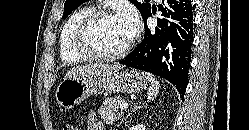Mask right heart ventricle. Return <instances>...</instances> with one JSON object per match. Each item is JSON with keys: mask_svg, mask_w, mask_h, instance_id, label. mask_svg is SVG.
<instances>
[{"mask_svg": "<svg viewBox=\"0 0 249 130\" xmlns=\"http://www.w3.org/2000/svg\"><path fill=\"white\" fill-rule=\"evenodd\" d=\"M93 10L95 9L92 5L83 6L75 10L64 23L59 36V53L64 63L74 64L85 59L76 51L74 37L79 23Z\"/></svg>", "mask_w": 249, "mask_h": 130, "instance_id": "e07e8e85", "label": "right heart ventricle"}]
</instances>
